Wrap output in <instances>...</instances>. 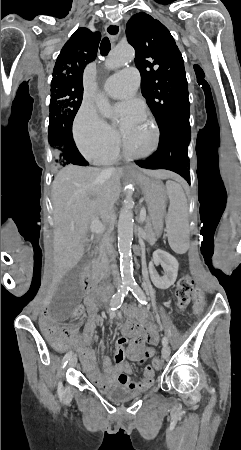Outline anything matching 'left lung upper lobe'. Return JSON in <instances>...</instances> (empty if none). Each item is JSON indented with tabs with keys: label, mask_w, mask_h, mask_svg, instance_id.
Wrapping results in <instances>:
<instances>
[{
	"label": "left lung upper lobe",
	"mask_w": 241,
	"mask_h": 450,
	"mask_svg": "<svg viewBox=\"0 0 241 450\" xmlns=\"http://www.w3.org/2000/svg\"><path fill=\"white\" fill-rule=\"evenodd\" d=\"M126 35L136 51L142 95L158 125L178 109L189 108L183 58L169 30L141 12L128 21Z\"/></svg>",
	"instance_id": "5c2ea615"
}]
</instances>
